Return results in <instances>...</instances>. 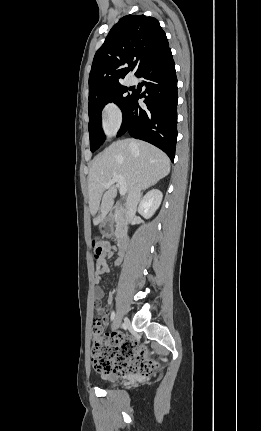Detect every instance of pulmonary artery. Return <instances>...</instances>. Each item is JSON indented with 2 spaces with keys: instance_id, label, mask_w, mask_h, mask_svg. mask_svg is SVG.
Returning <instances> with one entry per match:
<instances>
[{
  "instance_id": "pulmonary-artery-1",
  "label": "pulmonary artery",
  "mask_w": 261,
  "mask_h": 431,
  "mask_svg": "<svg viewBox=\"0 0 261 431\" xmlns=\"http://www.w3.org/2000/svg\"><path fill=\"white\" fill-rule=\"evenodd\" d=\"M128 82L130 85H134L136 83V80L134 78H130Z\"/></svg>"
}]
</instances>
